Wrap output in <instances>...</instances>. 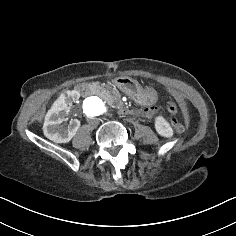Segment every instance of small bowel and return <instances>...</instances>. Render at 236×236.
Here are the masks:
<instances>
[{"label":"small bowel","instance_id":"small-bowel-1","mask_svg":"<svg viewBox=\"0 0 236 236\" xmlns=\"http://www.w3.org/2000/svg\"><path fill=\"white\" fill-rule=\"evenodd\" d=\"M154 114V110L153 109H150L147 111V115L148 116H152Z\"/></svg>","mask_w":236,"mask_h":236}]
</instances>
